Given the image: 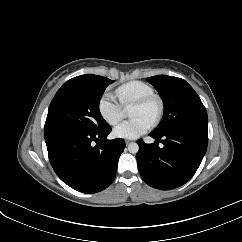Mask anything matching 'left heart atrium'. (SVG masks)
<instances>
[{"label":"left heart atrium","instance_id":"left-heart-atrium-1","mask_svg":"<svg viewBox=\"0 0 242 242\" xmlns=\"http://www.w3.org/2000/svg\"><path fill=\"white\" fill-rule=\"evenodd\" d=\"M150 128L151 122L142 117H136L118 124L113 129V134L118 138L136 139Z\"/></svg>","mask_w":242,"mask_h":242}]
</instances>
